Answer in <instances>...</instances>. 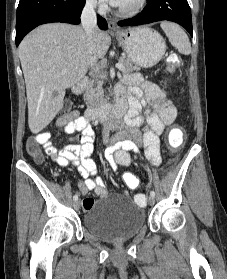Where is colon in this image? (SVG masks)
I'll return each instance as SVG.
<instances>
[{
  "mask_svg": "<svg viewBox=\"0 0 227 279\" xmlns=\"http://www.w3.org/2000/svg\"><path fill=\"white\" fill-rule=\"evenodd\" d=\"M70 109V105L66 104L65 105V110L66 112ZM185 135L184 133L179 129V128H174L171 130L169 133V143L170 146L175 149L180 147L183 144ZM27 153L34 158L36 162H42L43 161V155L38 147V145L33 142L29 141L26 146ZM123 181L125 185L131 189H135L139 186L140 184V178L133 174V173H125L123 175ZM135 202L138 205H141L146 202V196L143 193H139L137 197L135 198Z\"/></svg>",
  "mask_w": 227,
  "mask_h": 279,
  "instance_id": "1",
  "label": "colon"
}]
</instances>
